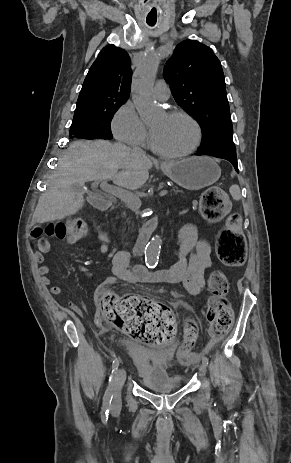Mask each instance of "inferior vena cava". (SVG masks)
Listing matches in <instances>:
<instances>
[{
  "label": "inferior vena cava",
  "mask_w": 291,
  "mask_h": 463,
  "mask_svg": "<svg viewBox=\"0 0 291 463\" xmlns=\"http://www.w3.org/2000/svg\"><path fill=\"white\" fill-rule=\"evenodd\" d=\"M137 152H142V150L140 148H136L135 149Z\"/></svg>",
  "instance_id": "obj_1"
}]
</instances>
